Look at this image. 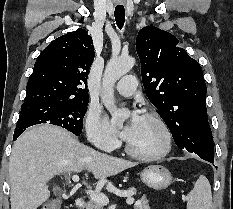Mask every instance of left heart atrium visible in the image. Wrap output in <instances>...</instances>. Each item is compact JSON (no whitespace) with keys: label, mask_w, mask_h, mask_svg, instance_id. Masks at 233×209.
I'll return each mask as SVG.
<instances>
[{"label":"left heart atrium","mask_w":233,"mask_h":209,"mask_svg":"<svg viewBox=\"0 0 233 209\" xmlns=\"http://www.w3.org/2000/svg\"><path fill=\"white\" fill-rule=\"evenodd\" d=\"M142 116L140 114H138L137 112H134L129 120V122L126 124V126L120 131V135L125 139V140H129L137 125L139 124L140 120H141Z\"/></svg>","instance_id":"obj_1"}]
</instances>
